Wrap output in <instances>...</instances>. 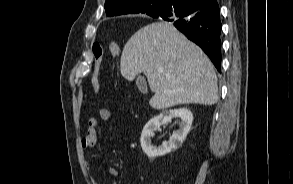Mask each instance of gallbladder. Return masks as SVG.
I'll return each instance as SVG.
<instances>
[{
    "mask_svg": "<svg viewBox=\"0 0 293 184\" xmlns=\"http://www.w3.org/2000/svg\"><path fill=\"white\" fill-rule=\"evenodd\" d=\"M142 82H143V78L141 76H138V78H137V84L139 86H141L142 85Z\"/></svg>",
    "mask_w": 293,
    "mask_h": 184,
    "instance_id": "1",
    "label": "gallbladder"
}]
</instances>
